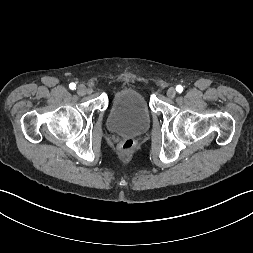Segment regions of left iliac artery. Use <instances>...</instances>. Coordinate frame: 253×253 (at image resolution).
I'll use <instances>...</instances> for the list:
<instances>
[{
  "label": "left iliac artery",
  "mask_w": 253,
  "mask_h": 253,
  "mask_svg": "<svg viewBox=\"0 0 253 253\" xmlns=\"http://www.w3.org/2000/svg\"><path fill=\"white\" fill-rule=\"evenodd\" d=\"M176 91L181 93L183 91V87L181 85L176 86Z\"/></svg>",
  "instance_id": "44dca946"
}]
</instances>
